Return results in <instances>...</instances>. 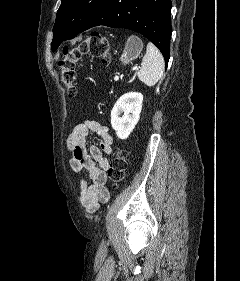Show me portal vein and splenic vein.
I'll return each mask as SVG.
<instances>
[{"mask_svg":"<svg viewBox=\"0 0 240 281\" xmlns=\"http://www.w3.org/2000/svg\"><path fill=\"white\" fill-rule=\"evenodd\" d=\"M138 69H139L138 66H135V67L133 68V70H138ZM119 79H120L119 76H115V77H114V80H115V81H119Z\"/></svg>","mask_w":240,"mask_h":281,"instance_id":"1","label":"portal vein and splenic vein"}]
</instances>
